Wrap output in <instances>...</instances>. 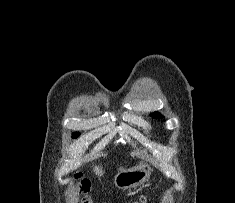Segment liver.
<instances>
[{"mask_svg": "<svg viewBox=\"0 0 235 203\" xmlns=\"http://www.w3.org/2000/svg\"><path fill=\"white\" fill-rule=\"evenodd\" d=\"M94 171H95L98 175H100V176L104 174L102 168H100V167H98V166H95V167H94Z\"/></svg>", "mask_w": 235, "mask_h": 203, "instance_id": "liver-1", "label": "liver"}]
</instances>
